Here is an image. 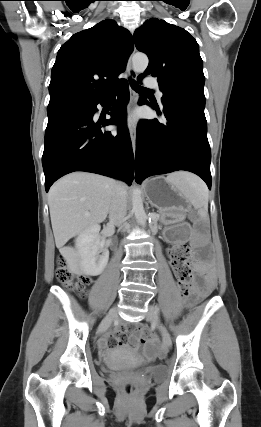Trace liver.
Instances as JSON below:
<instances>
[{"instance_id": "1", "label": "liver", "mask_w": 261, "mask_h": 427, "mask_svg": "<svg viewBox=\"0 0 261 427\" xmlns=\"http://www.w3.org/2000/svg\"><path fill=\"white\" fill-rule=\"evenodd\" d=\"M126 190L125 184H122ZM116 181L98 174L74 172L58 180L48 194L56 247L103 222L109 212Z\"/></svg>"}]
</instances>
